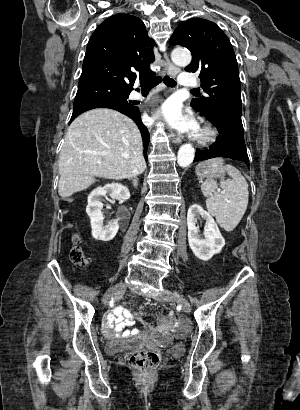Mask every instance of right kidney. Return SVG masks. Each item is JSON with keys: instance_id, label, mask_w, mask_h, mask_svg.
Returning a JSON list of instances; mask_svg holds the SVG:
<instances>
[{"instance_id": "right-kidney-1", "label": "right kidney", "mask_w": 300, "mask_h": 410, "mask_svg": "<svg viewBox=\"0 0 300 410\" xmlns=\"http://www.w3.org/2000/svg\"><path fill=\"white\" fill-rule=\"evenodd\" d=\"M107 195L113 199L126 201L130 198V192L126 186L120 183H111L97 187L89 194L86 212L90 218L92 236L96 240L105 242L112 240L119 229L118 220H114L108 225L103 224L104 217L101 211L103 203L101 200Z\"/></svg>"}]
</instances>
